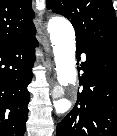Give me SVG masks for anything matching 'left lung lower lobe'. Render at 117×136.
I'll list each match as a JSON object with an SVG mask.
<instances>
[{
	"mask_svg": "<svg viewBox=\"0 0 117 136\" xmlns=\"http://www.w3.org/2000/svg\"><path fill=\"white\" fill-rule=\"evenodd\" d=\"M82 62V91L69 114L57 125V136H117V53L76 43Z\"/></svg>",
	"mask_w": 117,
	"mask_h": 136,
	"instance_id": "1",
	"label": "left lung lower lobe"
}]
</instances>
